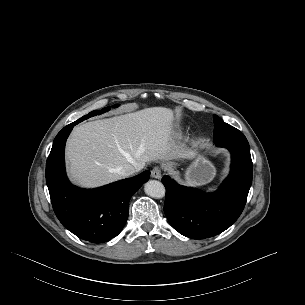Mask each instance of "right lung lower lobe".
Masks as SVG:
<instances>
[{"mask_svg": "<svg viewBox=\"0 0 305 305\" xmlns=\"http://www.w3.org/2000/svg\"><path fill=\"white\" fill-rule=\"evenodd\" d=\"M65 126L55 137L46 162V183L57 218L79 238L103 243L117 236L128 218L131 196L149 180L150 171L96 189L72 185L65 172L64 149L73 127Z\"/></svg>", "mask_w": 305, "mask_h": 305, "instance_id": "98d812e1", "label": "right lung lower lobe"}]
</instances>
